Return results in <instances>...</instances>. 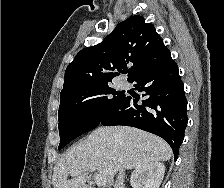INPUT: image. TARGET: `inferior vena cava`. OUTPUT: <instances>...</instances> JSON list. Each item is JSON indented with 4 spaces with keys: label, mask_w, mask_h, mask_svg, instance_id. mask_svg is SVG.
I'll return each instance as SVG.
<instances>
[{
    "label": "inferior vena cava",
    "mask_w": 224,
    "mask_h": 188,
    "mask_svg": "<svg viewBox=\"0 0 224 188\" xmlns=\"http://www.w3.org/2000/svg\"><path fill=\"white\" fill-rule=\"evenodd\" d=\"M124 169L121 168L119 170V174L117 176V179H116V182H115V185H114V188H125L124 187Z\"/></svg>",
    "instance_id": "602c4592"
}]
</instances>
